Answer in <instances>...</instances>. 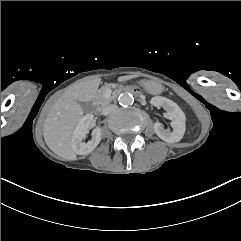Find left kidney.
I'll return each instance as SVG.
<instances>
[{
	"instance_id": "obj_1",
	"label": "left kidney",
	"mask_w": 241,
	"mask_h": 241,
	"mask_svg": "<svg viewBox=\"0 0 241 241\" xmlns=\"http://www.w3.org/2000/svg\"><path fill=\"white\" fill-rule=\"evenodd\" d=\"M150 103L155 107H163L166 110V117L171 120L173 128L171 132L169 129H164L160 122H156L154 131L157 136L168 143L179 142L183 138L186 129L184 112L175 102L165 97L155 96Z\"/></svg>"
}]
</instances>
